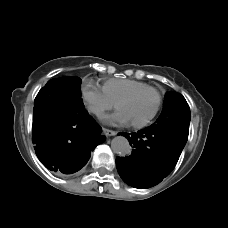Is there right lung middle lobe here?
I'll return each mask as SVG.
<instances>
[{"label": "right lung middle lobe", "mask_w": 228, "mask_h": 228, "mask_svg": "<svg viewBox=\"0 0 228 228\" xmlns=\"http://www.w3.org/2000/svg\"><path fill=\"white\" fill-rule=\"evenodd\" d=\"M57 86L59 96L69 103H82L81 79L78 77H63L52 79L47 84Z\"/></svg>", "instance_id": "dd1d6c3e"}]
</instances>
